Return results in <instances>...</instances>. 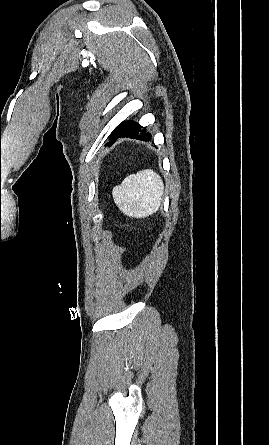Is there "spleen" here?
<instances>
[{"label": "spleen", "mask_w": 269, "mask_h": 445, "mask_svg": "<svg viewBox=\"0 0 269 445\" xmlns=\"http://www.w3.org/2000/svg\"><path fill=\"white\" fill-rule=\"evenodd\" d=\"M164 184L151 169L127 176L112 190L114 202L126 216L142 218L156 213L161 205Z\"/></svg>", "instance_id": "3e777b00"}]
</instances>
